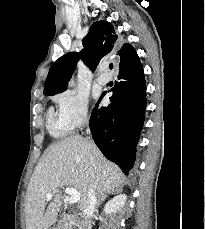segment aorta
<instances>
[{
  "mask_svg": "<svg viewBox=\"0 0 205 229\" xmlns=\"http://www.w3.org/2000/svg\"><path fill=\"white\" fill-rule=\"evenodd\" d=\"M73 85H74V81L71 80V81L69 82V86H73Z\"/></svg>",
  "mask_w": 205,
  "mask_h": 229,
  "instance_id": "1",
  "label": "aorta"
}]
</instances>
